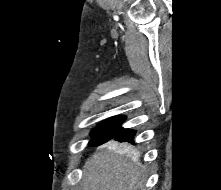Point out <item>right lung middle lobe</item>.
I'll list each match as a JSON object with an SVG mask.
<instances>
[{
	"label": "right lung middle lobe",
	"mask_w": 221,
	"mask_h": 190,
	"mask_svg": "<svg viewBox=\"0 0 221 190\" xmlns=\"http://www.w3.org/2000/svg\"><path fill=\"white\" fill-rule=\"evenodd\" d=\"M124 120L125 116H115L104 120L91 132L94 137L90 141V144L98 146L113 139L123 130V127L120 125Z\"/></svg>",
	"instance_id": "obj_1"
}]
</instances>
